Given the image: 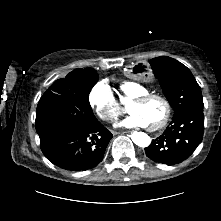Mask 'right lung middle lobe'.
<instances>
[{"instance_id": "right-lung-middle-lobe-1", "label": "right lung middle lobe", "mask_w": 221, "mask_h": 221, "mask_svg": "<svg viewBox=\"0 0 221 221\" xmlns=\"http://www.w3.org/2000/svg\"><path fill=\"white\" fill-rule=\"evenodd\" d=\"M95 71L56 80L41 97L36 110V131L41 141L73 126H90L97 119L88 101L96 84Z\"/></svg>"}]
</instances>
